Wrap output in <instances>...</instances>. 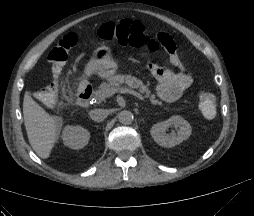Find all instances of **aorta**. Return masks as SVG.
<instances>
[{"label": "aorta", "instance_id": "aorta-1", "mask_svg": "<svg viewBox=\"0 0 254 216\" xmlns=\"http://www.w3.org/2000/svg\"><path fill=\"white\" fill-rule=\"evenodd\" d=\"M117 116H118L119 122L124 125H129L134 120L133 113L129 110H123L119 112Z\"/></svg>", "mask_w": 254, "mask_h": 216}]
</instances>
